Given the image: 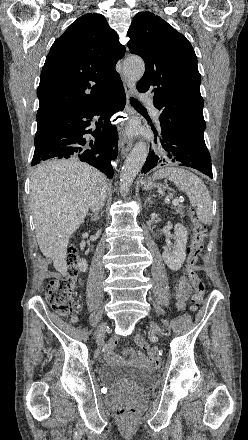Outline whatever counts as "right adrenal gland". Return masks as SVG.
Here are the masks:
<instances>
[{"label":"right adrenal gland","instance_id":"right-adrenal-gland-1","mask_svg":"<svg viewBox=\"0 0 248 440\" xmlns=\"http://www.w3.org/2000/svg\"><path fill=\"white\" fill-rule=\"evenodd\" d=\"M91 217L92 221H97L100 218V215H98V213L96 214H88Z\"/></svg>","mask_w":248,"mask_h":440}]
</instances>
